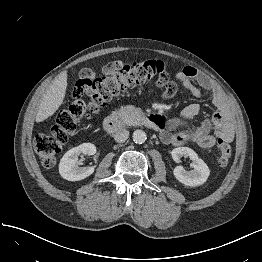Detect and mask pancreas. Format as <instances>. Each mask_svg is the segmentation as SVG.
I'll use <instances>...</instances> for the list:
<instances>
[{
	"label": "pancreas",
	"instance_id": "obj_1",
	"mask_svg": "<svg viewBox=\"0 0 262 262\" xmlns=\"http://www.w3.org/2000/svg\"><path fill=\"white\" fill-rule=\"evenodd\" d=\"M112 115L122 120L125 124L136 125L140 123L142 111L132 105L121 107L119 110L113 111Z\"/></svg>",
	"mask_w": 262,
	"mask_h": 262
}]
</instances>
